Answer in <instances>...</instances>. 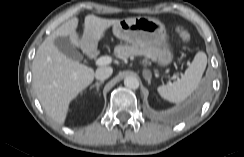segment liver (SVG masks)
<instances>
[{"mask_svg":"<svg viewBox=\"0 0 244 157\" xmlns=\"http://www.w3.org/2000/svg\"><path fill=\"white\" fill-rule=\"evenodd\" d=\"M118 19L85 17V28L79 37L78 18H72L51 33L38 47L32 63V85L46 114L64 124L69 105L94 80V70L67 58L55 45L57 37H69L71 44L83 51L94 47Z\"/></svg>","mask_w":244,"mask_h":157,"instance_id":"1","label":"liver"}]
</instances>
